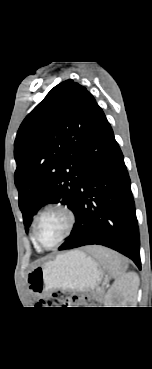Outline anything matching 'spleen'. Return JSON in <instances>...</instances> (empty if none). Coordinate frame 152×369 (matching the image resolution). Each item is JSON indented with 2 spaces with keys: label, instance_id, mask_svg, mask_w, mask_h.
I'll use <instances>...</instances> for the list:
<instances>
[{
  "label": "spleen",
  "instance_id": "obj_1",
  "mask_svg": "<svg viewBox=\"0 0 152 369\" xmlns=\"http://www.w3.org/2000/svg\"><path fill=\"white\" fill-rule=\"evenodd\" d=\"M103 266L109 271L115 280L120 283L127 270L126 260L117 252L109 249L100 248L97 253Z\"/></svg>",
  "mask_w": 152,
  "mask_h": 369
}]
</instances>
